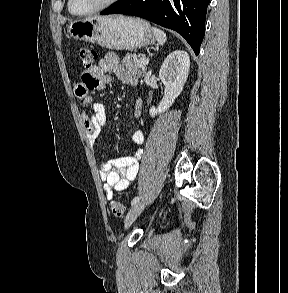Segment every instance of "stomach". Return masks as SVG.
Wrapping results in <instances>:
<instances>
[{"mask_svg": "<svg viewBox=\"0 0 288 293\" xmlns=\"http://www.w3.org/2000/svg\"><path fill=\"white\" fill-rule=\"evenodd\" d=\"M68 35L112 50H136L154 44L150 25L139 18L122 15L92 16L71 22Z\"/></svg>", "mask_w": 288, "mask_h": 293, "instance_id": "obj_1", "label": "stomach"}]
</instances>
